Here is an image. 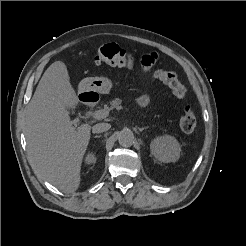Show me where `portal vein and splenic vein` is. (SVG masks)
I'll return each instance as SVG.
<instances>
[{
    "label": "portal vein and splenic vein",
    "instance_id": "portal-vein-and-splenic-vein-1",
    "mask_svg": "<svg viewBox=\"0 0 246 246\" xmlns=\"http://www.w3.org/2000/svg\"><path fill=\"white\" fill-rule=\"evenodd\" d=\"M118 110H122V106L117 107ZM109 115V109H101L93 113V118L96 120L104 119Z\"/></svg>",
    "mask_w": 246,
    "mask_h": 246
}]
</instances>
